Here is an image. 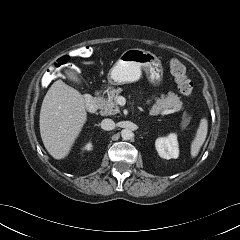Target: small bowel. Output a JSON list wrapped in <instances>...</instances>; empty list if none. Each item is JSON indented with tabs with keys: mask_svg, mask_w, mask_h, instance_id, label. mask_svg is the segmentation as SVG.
<instances>
[{
	"mask_svg": "<svg viewBox=\"0 0 240 240\" xmlns=\"http://www.w3.org/2000/svg\"><path fill=\"white\" fill-rule=\"evenodd\" d=\"M55 72H56V67L53 65L47 70L45 74L46 78L51 79L52 77L55 76Z\"/></svg>",
	"mask_w": 240,
	"mask_h": 240,
	"instance_id": "1",
	"label": "small bowel"
}]
</instances>
